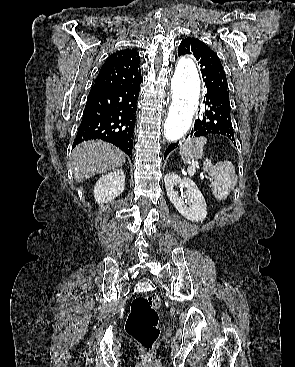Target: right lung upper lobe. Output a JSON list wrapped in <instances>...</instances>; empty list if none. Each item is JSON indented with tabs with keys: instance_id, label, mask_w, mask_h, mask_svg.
Segmentation results:
<instances>
[{
	"instance_id": "1",
	"label": "right lung upper lobe",
	"mask_w": 295,
	"mask_h": 367,
	"mask_svg": "<svg viewBox=\"0 0 295 367\" xmlns=\"http://www.w3.org/2000/svg\"><path fill=\"white\" fill-rule=\"evenodd\" d=\"M142 82L140 60L136 50L125 49L110 55L96 78L94 86L127 87Z\"/></svg>"
}]
</instances>
